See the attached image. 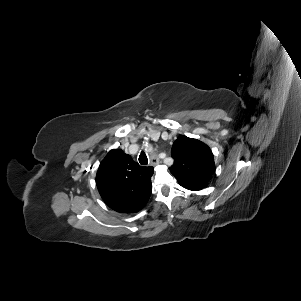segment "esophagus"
Segmentation results:
<instances>
[{
  "mask_svg": "<svg viewBox=\"0 0 301 301\" xmlns=\"http://www.w3.org/2000/svg\"><path fill=\"white\" fill-rule=\"evenodd\" d=\"M157 164H159V159L156 156H152L150 159V165L156 166Z\"/></svg>",
  "mask_w": 301,
  "mask_h": 301,
  "instance_id": "esophagus-1",
  "label": "esophagus"
}]
</instances>
